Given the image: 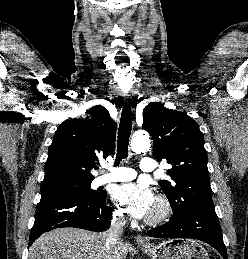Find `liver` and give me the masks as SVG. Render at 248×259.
Segmentation results:
<instances>
[{
  "mask_svg": "<svg viewBox=\"0 0 248 259\" xmlns=\"http://www.w3.org/2000/svg\"><path fill=\"white\" fill-rule=\"evenodd\" d=\"M128 245L118 241L105 248L103 233L78 228H58L40 236L29 249V259H126Z\"/></svg>",
  "mask_w": 248,
  "mask_h": 259,
  "instance_id": "6515ba94",
  "label": "liver"
}]
</instances>
